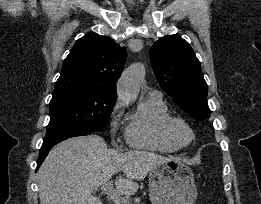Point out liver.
Here are the masks:
<instances>
[{"mask_svg":"<svg viewBox=\"0 0 261 204\" xmlns=\"http://www.w3.org/2000/svg\"><path fill=\"white\" fill-rule=\"evenodd\" d=\"M170 158L146 151L120 153L108 149L102 137L69 138L54 147L38 171L40 204H102L92 193L116 178L121 195H133L140 181L157 165Z\"/></svg>","mask_w":261,"mask_h":204,"instance_id":"liver-1","label":"liver"}]
</instances>
